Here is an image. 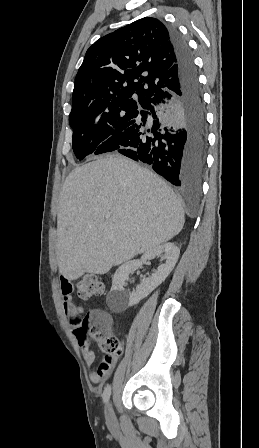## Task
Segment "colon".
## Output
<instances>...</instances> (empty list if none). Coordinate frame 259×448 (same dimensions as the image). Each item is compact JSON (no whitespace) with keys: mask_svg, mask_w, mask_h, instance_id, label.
I'll return each instance as SVG.
<instances>
[{"mask_svg":"<svg viewBox=\"0 0 259 448\" xmlns=\"http://www.w3.org/2000/svg\"><path fill=\"white\" fill-rule=\"evenodd\" d=\"M103 290V283L92 274L84 276L77 288L78 296L82 300L96 298ZM75 332L80 342H85L88 338L97 341L101 350L108 356L116 357L122 354L121 342L111 333L110 318L102 310H90L78 321Z\"/></svg>","mask_w":259,"mask_h":448,"instance_id":"1","label":"colon"}]
</instances>
